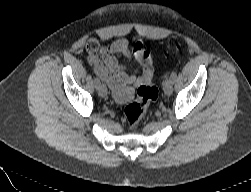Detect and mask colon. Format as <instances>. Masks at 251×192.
Returning <instances> with one entry per match:
<instances>
[{"label":"colon","instance_id":"5ec220e1","mask_svg":"<svg viewBox=\"0 0 251 192\" xmlns=\"http://www.w3.org/2000/svg\"><path fill=\"white\" fill-rule=\"evenodd\" d=\"M158 97V89L151 79L140 84L137 98L124 109V119L130 128L136 127L144 118L151 102Z\"/></svg>","mask_w":251,"mask_h":192}]
</instances>
